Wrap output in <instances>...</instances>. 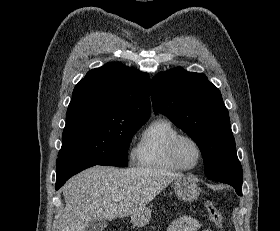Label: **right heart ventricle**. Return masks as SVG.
<instances>
[{"label": "right heart ventricle", "instance_id": "1", "mask_svg": "<svg viewBox=\"0 0 280 231\" xmlns=\"http://www.w3.org/2000/svg\"><path fill=\"white\" fill-rule=\"evenodd\" d=\"M179 133L171 119L163 116L153 119L139 136L133 152L135 163L145 168L180 170L169 157V145Z\"/></svg>", "mask_w": 280, "mask_h": 231}]
</instances>
